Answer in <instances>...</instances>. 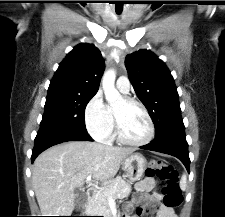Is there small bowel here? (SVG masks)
I'll return each mask as SVG.
<instances>
[{
    "mask_svg": "<svg viewBox=\"0 0 225 217\" xmlns=\"http://www.w3.org/2000/svg\"><path fill=\"white\" fill-rule=\"evenodd\" d=\"M156 181L153 177L147 176L135 184V189L141 195L136 196L131 202L126 204V210L131 211L136 208L138 214H152L157 211L156 217H177L173 208L165 206L161 202V195L155 191ZM151 192V194H148ZM123 217H130L124 215ZM138 217V216H131Z\"/></svg>",
    "mask_w": 225,
    "mask_h": 217,
    "instance_id": "obj_1",
    "label": "small bowel"
}]
</instances>
